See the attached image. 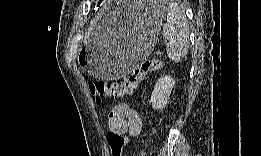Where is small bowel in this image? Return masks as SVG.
Listing matches in <instances>:
<instances>
[{"label":"small bowel","mask_w":261,"mask_h":156,"mask_svg":"<svg viewBox=\"0 0 261 156\" xmlns=\"http://www.w3.org/2000/svg\"><path fill=\"white\" fill-rule=\"evenodd\" d=\"M108 128L110 132L120 135L136 136L142 128L139 114L129 105L120 103L115 105L108 114Z\"/></svg>","instance_id":"small-bowel-1"}]
</instances>
